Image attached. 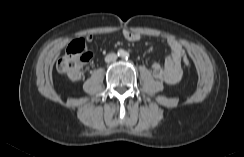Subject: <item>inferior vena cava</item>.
I'll return each instance as SVG.
<instances>
[{"label":"inferior vena cava","instance_id":"602c4592","mask_svg":"<svg viewBox=\"0 0 244 157\" xmlns=\"http://www.w3.org/2000/svg\"><path fill=\"white\" fill-rule=\"evenodd\" d=\"M117 59V55L115 53L107 54L105 57V62L110 63L112 61H115Z\"/></svg>","mask_w":244,"mask_h":157}]
</instances>
